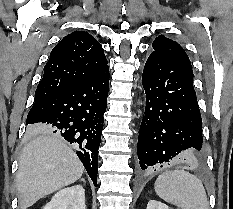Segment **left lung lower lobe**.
Returning a JSON list of instances; mask_svg holds the SVG:
<instances>
[{
  "mask_svg": "<svg viewBox=\"0 0 233 209\" xmlns=\"http://www.w3.org/2000/svg\"><path fill=\"white\" fill-rule=\"evenodd\" d=\"M188 65L151 53L142 75L145 116L137 154L142 170L202 161V119Z\"/></svg>",
  "mask_w": 233,
  "mask_h": 209,
  "instance_id": "1",
  "label": "left lung lower lobe"
}]
</instances>
